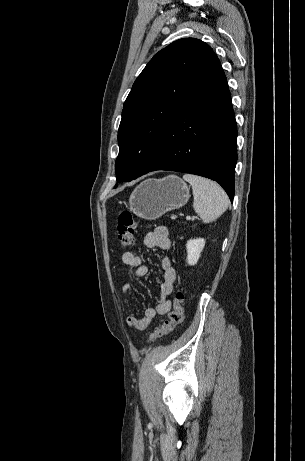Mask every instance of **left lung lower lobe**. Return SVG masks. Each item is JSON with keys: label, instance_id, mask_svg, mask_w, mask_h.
<instances>
[{"label": "left lung lower lobe", "instance_id": "left-lung-lower-lobe-1", "mask_svg": "<svg viewBox=\"0 0 305 461\" xmlns=\"http://www.w3.org/2000/svg\"><path fill=\"white\" fill-rule=\"evenodd\" d=\"M236 138L231 95L217 59L168 123L148 172L170 170L210 178L221 184L232 201Z\"/></svg>", "mask_w": 305, "mask_h": 461}]
</instances>
